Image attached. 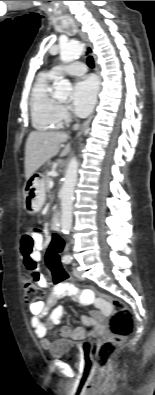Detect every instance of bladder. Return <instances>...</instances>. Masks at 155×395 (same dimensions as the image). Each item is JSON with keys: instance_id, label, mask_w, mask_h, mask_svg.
Listing matches in <instances>:
<instances>
[{"instance_id": "obj_1", "label": "bladder", "mask_w": 155, "mask_h": 395, "mask_svg": "<svg viewBox=\"0 0 155 395\" xmlns=\"http://www.w3.org/2000/svg\"><path fill=\"white\" fill-rule=\"evenodd\" d=\"M50 354L54 358H66L79 362L84 356V347L77 341L70 339H57L50 347Z\"/></svg>"}]
</instances>
